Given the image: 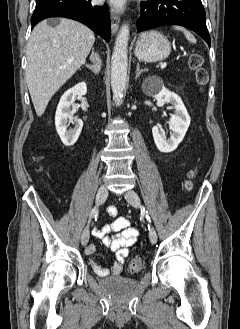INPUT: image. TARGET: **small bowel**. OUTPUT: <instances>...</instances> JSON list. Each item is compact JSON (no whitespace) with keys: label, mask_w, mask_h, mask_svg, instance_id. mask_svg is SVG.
<instances>
[{"label":"small bowel","mask_w":240,"mask_h":329,"mask_svg":"<svg viewBox=\"0 0 240 329\" xmlns=\"http://www.w3.org/2000/svg\"><path fill=\"white\" fill-rule=\"evenodd\" d=\"M108 213L115 219L107 225L94 229L93 234L114 253V261L110 267H103L91 260V266L99 277L110 274L117 276L122 272L130 248L136 243L139 235L138 229L131 226L128 218L116 217L117 210L115 207H109ZM95 251L96 246L91 243L87 246L85 252L88 256H92Z\"/></svg>","instance_id":"c3829d8e"}]
</instances>
